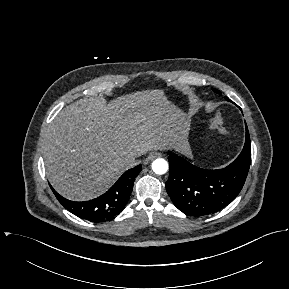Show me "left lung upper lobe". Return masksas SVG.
<instances>
[{
    "label": "left lung upper lobe",
    "instance_id": "5c2ea615",
    "mask_svg": "<svg viewBox=\"0 0 289 289\" xmlns=\"http://www.w3.org/2000/svg\"><path fill=\"white\" fill-rule=\"evenodd\" d=\"M213 91L216 92V93H219V91H217L216 89H213ZM227 100H229V99H227Z\"/></svg>",
    "mask_w": 289,
    "mask_h": 289
}]
</instances>
